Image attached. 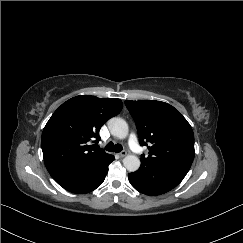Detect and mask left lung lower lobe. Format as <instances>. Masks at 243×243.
Listing matches in <instances>:
<instances>
[{
  "instance_id": "0a47b994",
  "label": "left lung lower lobe",
  "mask_w": 243,
  "mask_h": 243,
  "mask_svg": "<svg viewBox=\"0 0 243 243\" xmlns=\"http://www.w3.org/2000/svg\"><path fill=\"white\" fill-rule=\"evenodd\" d=\"M190 162L174 161L155 166L140 167L128 174L129 182L139 192L156 196L176 187L191 167Z\"/></svg>"
}]
</instances>
